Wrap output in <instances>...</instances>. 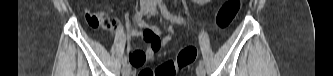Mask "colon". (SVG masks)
<instances>
[{
	"label": "colon",
	"mask_w": 333,
	"mask_h": 76,
	"mask_svg": "<svg viewBox=\"0 0 333 76\" xmlns=\"http://www.w3.org/2000/svg\"><path fill=\"white\" fill-rule=\"evenodd\" d=\"M241 8V0L225 1L216 15V26L225 30L231 25ZM197 48L187 46L183 48L176 59L162 62L155 69L147 68L139 72V76H175L179 71L189 67L196 59Z\"/></svg>",
	"instance_id": "colon-1"
}]
</instances>
